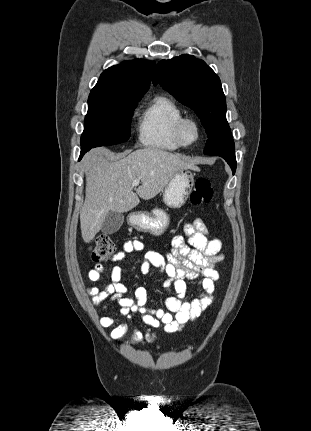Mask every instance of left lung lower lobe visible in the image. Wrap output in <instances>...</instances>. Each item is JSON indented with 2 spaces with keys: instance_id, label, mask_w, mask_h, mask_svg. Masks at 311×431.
I'll list each match as a JSON object with an SVG mask.
<instances>
[{
  "instance_id": "left-lung-lower-lobe-1",
  "label": "left lung lower lobe",
  "mask_w": 311,
  "mask_h": 431,
  "mask_svg": "<svg viewBox=\"0 0 311 431\" xmlns=\"http://www.w3.org/2000/svg\"><path fill=\"white\" fill-rule=\"evenodd\" d=\"M220 157H222L223 159H225V161L230 165L233 174L235 173L236 170V157H235V153L233 154H222L220 155Z\"/></svg>"
}]
</instances>
